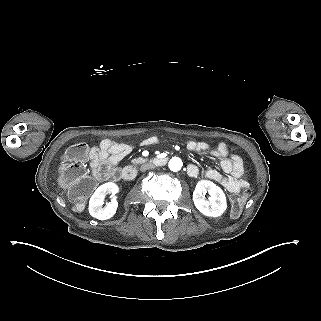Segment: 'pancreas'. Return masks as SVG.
Listing matches in <instances>:
<instances>
[{"mask_svg": "<svg viewBox=\"0 0 321 321\" xmlns=\"http://www.w3.org/2000/svg\"><path fill=\"white\" fill-rule=\"evenodd\" d=\"M148 159L147 158H143V157H138V158H135V159H132L131 160V163H134V164H141L143 162H147Z\"/></svg>", "mask_w": 321, "mask_h": 321, "instance_id": "pancreas-1", "label": "pancreas"}]
</instances>
